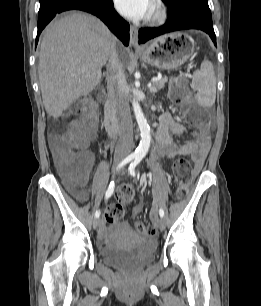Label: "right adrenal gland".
I'll return each instance as SVG.
<instances>
[{
	"label": "right adrenal gland",
	"instance_id": "obj_1",
	"mask_svg": "<svg viewBox=\"0 0 261 306\" xmlns=\"http://www.w3.org/2000/svg\"><path fill=\"white\" fill-rule=\"evenodd\" d=\"M108 72H109V70H107V72H106V73H103V77H104L105 75H107V74H108Z\"/></svg>",
	"mask_w": 261,
	"mask_h": 306
}]
</instances>
